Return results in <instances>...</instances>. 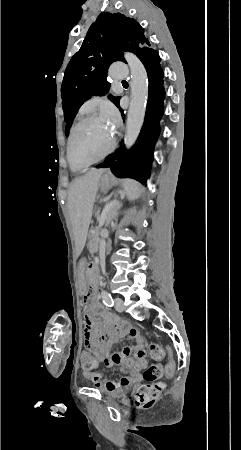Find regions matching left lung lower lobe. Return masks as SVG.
Returning a JSON list of instances; mask_svg holds the SVG:
<instances>
[{
  "label": "left lung lower lobe",
  "mask_w": 241,
  "mask_h": 450,
  "mask_svg": "<svg viewBox=\"0 0 241 450\" xmlns=\"http://www.w3.org/2000/svg\"><path fill=\"white\" fill-rule=\"evenodd\" d=\"M139 59L144 64L149 80V96L143 128L131 151L127 152L121 142L120 149L107 156L105 161L96 167H109L117 177H129L145 184L150 174L154 146L160 132L159 121L163 115L165 91L158 53L150 48ZM121 114L125 119L123 110Z\"/></svg>",
  "instance_id": "left-lung-lower-lobe-1"
}]
</instances>
